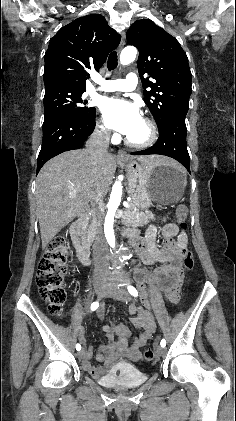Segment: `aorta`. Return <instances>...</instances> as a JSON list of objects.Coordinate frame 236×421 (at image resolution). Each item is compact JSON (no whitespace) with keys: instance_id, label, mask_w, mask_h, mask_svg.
Returning a JSON list of instances; mask_svg holds the SVG:
<instances>
[{"instance_id":"obj_1","label":"aorta","mask_w":236,"mask_h":421,"mask_svg":"<svg viewBox=\"0 0 236 421\" xmlns=\"http://www.w3.org/2000/svg\"><path fill=\"white\" fill-rule=\"evenodd\" d=\"M137 54V48L135 46H125L123 48L121 54H120V62L121 64H130V62H133L135 60ZM121 196H122V186L121 182H115L113 184L112 192L110 194L109 202L107 204V215L105 217V223H104V233L105 237L107 239L108 245L114 249L116 239L114 235V217L115 213L117 211V208L121 202Z\"/></svg>"}]
</instances>
